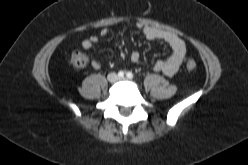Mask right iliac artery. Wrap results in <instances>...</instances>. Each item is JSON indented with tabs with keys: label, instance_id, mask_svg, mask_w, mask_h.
I'll return each instance as SVG.
<instances>
[{
	"label": "right iliac artery",
	"instance_id": "obj_1",
	"mask_svg": "<svg viewBox=\"0 0 248 165\" xmlns=\"http://www.w3.org/2000/svg\"><path fill=\"white\" fill-rule=\"evenodd\" d=\"M118 76H119V77H124V72H123V71H119V72H118Z\"/></svg>",
	"mask_w": 248,
	"mask_h": 165
}]
</instances>
